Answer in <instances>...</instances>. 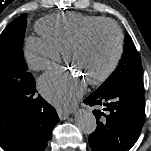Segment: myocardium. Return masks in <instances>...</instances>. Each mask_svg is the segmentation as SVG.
I'll return each instance as SVG.
<instances>
[{"label":"myocardium","mask_w":151,"mask_h":151,"mask_svg":"<svg viewBox=\"0 0 151 151\" xmlns=\"http://www.w3.org/2000/svg\"><path fill=\"white\" fill-rule=\"evenodd\" d=\"M104 26H109L114 30L116 34L117 49H116L115 56L111 64L108 66V68L99 76L89 80V83L92 85H98L105 82L114 73V71L116 70V68L118 67L121 61L123 50H124V36L120 26L116 22L110 19H105L95 22L89 25L88 27H86L81 33H79L76 37L70 40L65 45L62 51L64 60L68 62L69 52L82 45L94 30Z\"/></svg>","instance_id":"1"}]
</instances>
